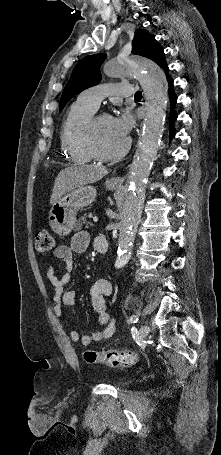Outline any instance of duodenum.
Here are the masks:
<instances>
[{
    "instance_id": "duodenum-1",
    "label": "duodenum",
    "mask_w": 221,
    "mask_h": 455,
    "mask_svg": "<svg viewBox=\"0 0 221 455\" xmlns=\"http://www.w3.org/2000/svg\"><path fill=\"white\" fill-rule=\"evenodd\" d=\"M95 248L101 254L106 253L107 252V248H108V243H107L106 238L97 237L95 239Z\"/></svg>"
}]
</instances>
